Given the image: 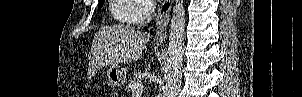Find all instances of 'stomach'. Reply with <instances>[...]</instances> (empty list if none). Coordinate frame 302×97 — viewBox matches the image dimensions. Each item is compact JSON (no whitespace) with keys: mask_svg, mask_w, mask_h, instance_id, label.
<instances>
[{"mask_svg":"<svg viewBox=\"0 0 302 97\" xmlns=\"http://www.w3.org/2000/svg\"><path fill=\"white\" fill-rule=\"evenodd\" d=\"M107 77L111 85L120 87L126 82V69L117 64L111 65L107 71Z\"/></svg>","mask_w":302,"mask_h":97,"instance_id":"0dacf381","label":"stomach"}]
</instances>
